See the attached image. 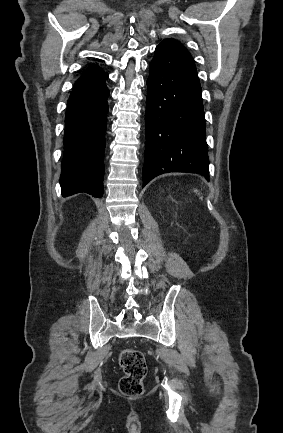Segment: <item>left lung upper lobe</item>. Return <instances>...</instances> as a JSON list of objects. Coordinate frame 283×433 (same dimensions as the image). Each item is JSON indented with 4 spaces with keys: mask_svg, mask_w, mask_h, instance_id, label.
Returning <instances> with one entry per match:
<instances>
[{
    "mask_svg": "<svg viewBox=\"0 0 283 433\" xmlns=\"http://www.w3.org/2000/svg\"><path fill=\"white\" fill-rule=\"evenodd\" d=\"M161 43H170V44H178V45H181L179 42H177L176 40H174V39H166V40H164L163 42H161ZM160 43V44H161Z\"/></svg>",
    "mask_w": 283,
    "mask_h": 433,
    "instance_id": "obj_1",
    "label": "left lung upper lobe"
}]
</instances>
